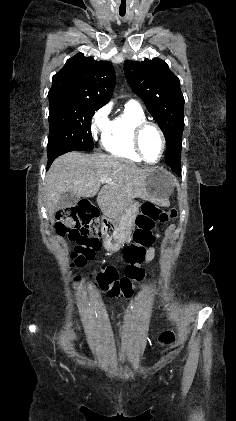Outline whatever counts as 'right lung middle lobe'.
Listing matches in <instances>:
<instances>
[{"label":"right lung middle lobe","instance_id":"obj_1","mask_svg":"<svg viewBox=\"0 0 236 421\" xmlns=\"http://www.w3.org/2000/svg\"><path fill=\"white\" fill-rule=\"evenodd\" d=\"M49 104L48 157L73 150H92L91 118L103 105L60 96L49 97Z\"/></svg>","mask_w":236,"mask_h":421}]
</instances>
